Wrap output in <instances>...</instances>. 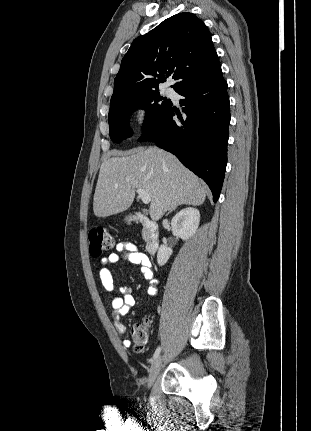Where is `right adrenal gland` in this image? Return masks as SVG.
<instances>
[{
    "instance_id": "1",
    "label": "right adrenal gland",
    "mask_w": 311,
    "mask_h": 431,
    "mask_svg": "<svg viewBox=\"0 0 311 431\" xmlns=\"http://www.w3.org/2000/svg\"><path fill=\"white\" fill-rule=\"evenodd\" d=\"M174 210H176V208H173V210H170V212H168V214H171V212H174ZM168 214H166V216H168Z\"/></svg>"
}]
</instances>
